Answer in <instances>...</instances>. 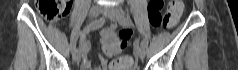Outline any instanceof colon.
Instances as JSON below:
<instances>
[{"instance_id":"1","label":"colon","mask_w":238,"mask_h":70,"mask_svg":"<svg viewBox=\"0 0 238 70\" xmlns=\"http://www.w3.org/2000/svg\"><path fill=\"white\" fill-rule=\"evenodd\" d=\"M163 0H151L148 4V17L153 27H162L166 30L172 29L178 22L181 12L183 11V2L172 0L168 2L167 13L162 15L161 10L164 8ZM37 7L42 16L49 20L55 21L66 16L70 10V2L67 0H38ZM121 40V48H126L127 41L131 38L128 30H122L118 33ZM111 70H132L133 60L129 56H123L115 59L110 64Z\"/></svg>"}]
</instances>
